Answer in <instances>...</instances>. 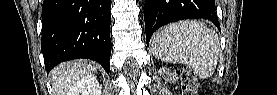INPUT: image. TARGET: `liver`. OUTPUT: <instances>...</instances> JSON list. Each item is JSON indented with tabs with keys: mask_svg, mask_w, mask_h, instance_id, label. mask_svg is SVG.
Returning a JSON list of instances; mask_svg holds the SVG:
<instances>
[{
	"mask_svg": "<svg viewBox=\"0 0 277 95\" xmlns=\"http://www.w3.org/2000/svg\"><path fill=\"white\" fill-rule=\"evenodd\" d=\"M96 68L92 63L82 60L68 61L51 71L54 95H72L77 84L83 79L94 76Z\"/></svg>",
	"mask_w": 277,
	"mask_h": 95,
	"instance_id": "6515ba94",
	"label": "liver"
}]
</instances>
